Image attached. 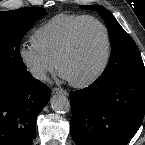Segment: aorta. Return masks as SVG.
<instances>
[{
	"instance_id": "762f6f07",
	"label": "aorta",
	"mask_w": 145,
	"mask_h": 145,
	"mask_svg": "<svg viewBox=\"0 0 145 145\" xmlns=\"http://www.w3.org/2000/svg\"><path fill=\"white\" fill-rule=\"evenodd\" d=\"M52 109L61 114H65L70 111V101L64 94H57L52 96L50 100Z\"/></svg>"
}]
</instances>
